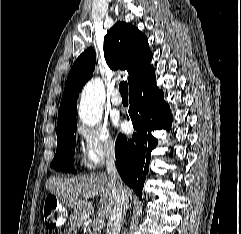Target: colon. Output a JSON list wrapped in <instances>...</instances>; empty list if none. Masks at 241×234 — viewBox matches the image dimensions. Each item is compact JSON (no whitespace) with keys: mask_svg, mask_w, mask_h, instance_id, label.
Returning a JSON list of instances; mask_svg holds the SVG:
<instances>
[{"mask_svg":"<svg viewBox=\"0 0 241 234\" xmlns=\"http://www.w3.org/2000/svg\"><path fill=\"white\" fill-rule=\"evenodd\" d=\"M43 220L46 228L50 230L60 227L66 220L65 209L53 196H48L44 201Z\"/></svg>","mask_w":241,"mask_h":234,"instance_id":"1","label":"colon"}]
</instances>
